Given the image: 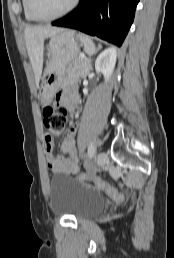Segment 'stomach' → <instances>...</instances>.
<instances>
[{"label":"stomach","instance_id":"0dacf381","mask_svg":"<svg viewBox=\"0 0 174 258\" xmlns=\"http://www.w3.org/2000/svg\"><path fill=\"white\" fill-rule=\"evenodd\" d=\"M79 52V40L73 31L64 30L50 37L40 88V98L44 105L51 103L55 92L63 82L66 66L77 58Z\"/></svg>","mask_w":174,"mask_h":258}]
</instances>
